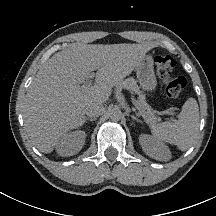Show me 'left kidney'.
<instances>
[{
  "mask_svg": "<svg viewBox=\"0 0 216 216\" xmlns=\"http://www.w3.org/2000/svg\"><path fill=\"white\" fill-rule=\"evenodd\" d=\"M139 142L143 151L151 158L160 161H167L170 159L171 153L169 148L160 140L150 135L142 134L139 137Z\"/></svg>",
  "mask_w": 216,
  "mask_h": 216,
  "instance_id": "1",
  "label": "left kidney"
}]
</instances>
